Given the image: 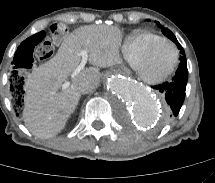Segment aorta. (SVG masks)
Segmentation results:
<instances>
[{
  "label": "aorta",
  "instance_id": "1",
  "mask_svg": "<svg viewBox=\"0 0 215 183\" xmlns=\"http://www.w3.org/2000/svg\"><path fill=\"white\" fill-rule=\"evenodd\" d=\"M105 85L114 100L132 108L133 118L139 125L151 127L161 121L160 103L139 83L122 75L109 74Z\"/></svg>",
  "mask_w": 215,
  "mask_h": 183
}]
</instances>
